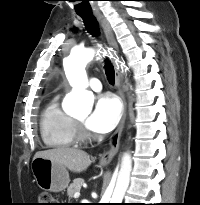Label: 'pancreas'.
<instances>
[{"mask_svg":"<svg viewBox=\"0 0 200 205\" xmlns=\"http://www.w3.org/2000/svg\"><path fill=\"white\" fill-rule=\"evenodd\" d=\"M84 183L82 178H76L73 180V183L67 188V195L69 198H72L76 192L81 190V186Z\"/></svg>","mask_w":200,"mask_h":205,"instance_id":"pancreas-1","label":"pancreas"}]
</instances>
